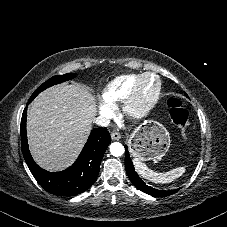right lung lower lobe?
<instances>
[{"mask_svg":"<svg viewBox=\"0 0 227 227\" xmlns=\"http://www.w3.org/2000/svg\"><path fill=\"white\" fill-rule=\"evenodd\" d=\"M26 116L27 107L21 119L22 153L37 182L49 193L60 196H74L87 190L96 181L101 160L111 142L107 129L92 130L75 163L64 171L54 173L40 168L32 159L27 142Z\"/></svg>","mask_w":227,"mask_h":227,"instance_id":"obj_1","label":"right lung lower lobe"}]
</instances>
